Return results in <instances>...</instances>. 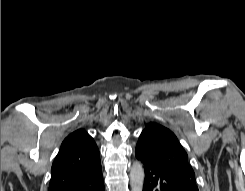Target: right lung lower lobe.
<instances>
[{
	"instance_id": "obj_1",
	"label": "right lung lower lobe",
	"mask_w": 245,
	"mask_h": 191,
	"mask_svg": "<svg viewBox=\"0 0 245 191\" xmlns=\"http://www.w3.org/2000/svg\"><path fill=\"white\" fill-rule=\"evenodd\" d=\"M62 191H105L102 171L100 170L89 178L73 183Z\"/></svg>"
}]
</instances>
